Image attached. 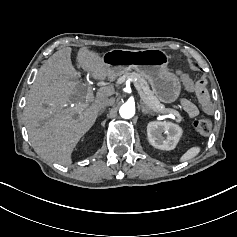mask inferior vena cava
I'll use <instances>...</instances> for the list:
<instances>
[{"label": "inferior vena cava", "instance_id": "inferior-vena-cava-1", "mask_svg": "<svg viewBox=\"0 0 237 237\" xmlns=\"http://www.w3.org/2000/svg\"><path fill=\"white\" fill-rule=\"evenodd\" d=\"M115 102L114 98H106L102 101L101 105L102 108L108 107V106H112Z\"/></svg>", "mask_w": 237, "mask_h": 237}]
</instances>
